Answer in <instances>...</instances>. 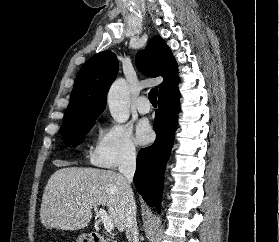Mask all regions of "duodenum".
Masks as SVG:
<instances>
[{
  "mask_svg": "<svg viewBox=\"0 0 279 242\" xmlns=\"http://www.w3.org/2000/svg\"><path fill=\"white\" fill-rule=\"evenodd\" d=\"M92 241L93 242H107V240L104 237H102L101 235H98V234L93 235Z\"/></svg>",
  "mask_w": 279,
  "mask_h": 242,
  "instance_id": "1",
  "label": "duodenum"
}]
</instances>
